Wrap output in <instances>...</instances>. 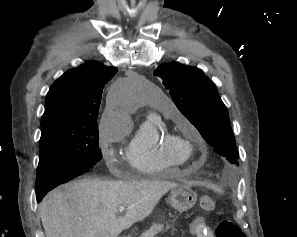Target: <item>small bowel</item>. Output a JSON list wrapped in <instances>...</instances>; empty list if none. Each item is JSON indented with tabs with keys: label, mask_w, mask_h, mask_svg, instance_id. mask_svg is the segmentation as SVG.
Listing matches in <instances>:
<instances>
[{
	"label": "small bowel",
	"mask_w": 297,
	"mask_h": 237,
	"mask_svg": "<svg viewBox=\"0 0 297 237\" xmlns=\"http://www.w3.org/2000/svg\"><path fill=\"white\" fill-rule=\"evenodd\" d=\"M192 233L195 237H213L210 228L203 222H198L193 228Z\"/></svg>",
	"instance_id": "obj_1"
}]
</instances>
